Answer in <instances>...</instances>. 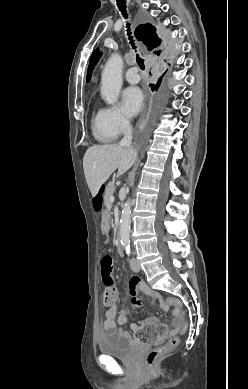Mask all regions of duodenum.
I'll return each instance as SVG.
<instances>
[{
  "instance_id": "obj_1",
  "label": "duodenum",
  "mask_w": 248,
  "mask_h": 389,
  "mask_svg": "<svg viewBox=\"0 0 248 389\" xmlns=\"http://www.w3.org/2000/svg\"><path fill=\"white\" fill-rule=\"evenodd\" d=\"M116 249H117V252L120 256L123 255V247L120 243V238L117 239V243H116Z\"/></svg>"
}]
</instances>
